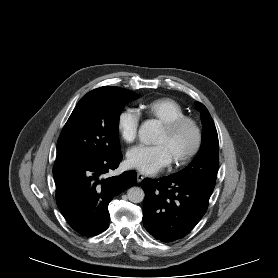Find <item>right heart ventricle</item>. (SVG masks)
Segmentation results:
<instances>
[{"label": "right heart ventricle", "mask_w": 278, "mask_h": 278, "mask_svg": "<svg viewBox=\"0 0 278 278\" xmlns=\"http://www.w3.org/2000/svg\"><path fill=\"white\" fill-rule=\"evenodd\" d=\"M139 112L145 116L166 124L185 116V110L179 102L172 98H157L140 104Z\"/></svg>", "instance_id": "right-heart-ventricle-1"}]
</instances>
